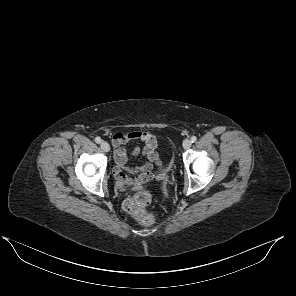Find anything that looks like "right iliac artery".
I'll list each match as a JSON object with an SVG mask.
<instances>
[{
	"label": "right iliac artery",
	"mask_w": 296,
	"mask_h": 296,
	"mask_svg": "<svg viewBox=\"0 0 296 296\" xmlns=\"http://www.w3.org/2000/svg\"><path fill=\"white\" fill-rule=\"evenodd\" d=\"M95 142L98 143V144L101 143V138L100 137H96L95 138Z\"/></svg>",
	"instance_id": "1"
}]
</instances>
